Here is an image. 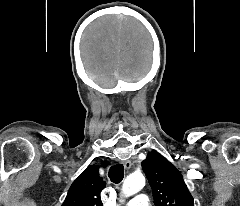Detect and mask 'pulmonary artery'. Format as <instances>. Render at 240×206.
<instances>
[{"label":"pulmonary artery","mask_w":240,"mask_h":206,"mask_svg":"<svg viewBox=\"0 0 240 206\" xmlns=\"http://www.w3.org/2000/svg\"><path fill=\"white\" fill-rule=\"evenodd\" d=\"M126 206H149L148 197L145 194H138L129 200Z\"/></svg>","instance_id":"e3ab8cb5"}]
</instances>
